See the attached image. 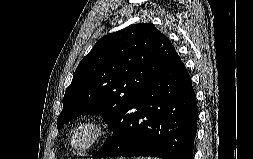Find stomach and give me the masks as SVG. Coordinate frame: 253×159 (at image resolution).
<instances>
[{
    "label": "stomach",
    "instance_id": "1",
    "mask_svg": "<svg viewBox=\"0 0 253 159\" xmlns=\"http://www.w3.org/2000/svg\"><path fill=\"white\" fill-rule=\"evenodd\" d=\"M117 159H125V158H123V157H120V158H117Z\"/></svg>",
    "mask_w": 253,
    "mask_h": 159
}]
</instances>
